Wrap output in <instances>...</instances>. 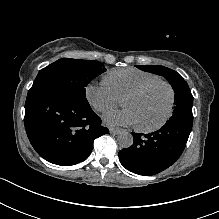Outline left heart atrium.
<instances>
[{"instance_id": "39dd6f15", "label": "left heart atrium", "mask_w": 219, "mask_h": 219, "mask_svg": "<svg viewBox=\"0 0 219 219\" xmlns=\"http://www.w3.org/2000/svg\"><path fill=\"white\" fill-rule=\"evenodd\" d=\"M103 122L107 126H132L138 125L136 114L128 108L120 111L108 112L103 116Z\"/></svg>"}]
</instances>
